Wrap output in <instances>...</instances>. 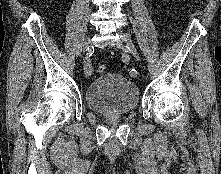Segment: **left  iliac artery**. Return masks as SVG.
<instances>
[{
	"label": "left iliac artery",
	"mask_w": 221,
	"mask_h": 174,
	"mask_svg": "<svg viewBox=\"0 0 221 174\" xmlns=\"http://www.w3.org/2000/svg\"><path fill=\"white\" fill-rule=\"evenodd\" d=\"M121 60L124 64H129L130 62V56L128 54H122ZM129 73L132 76H135L137 74V71L135 69H130Z\"/></svg>",
	"instance_id": "left-iliac-artery-1"
}]
</instances>
